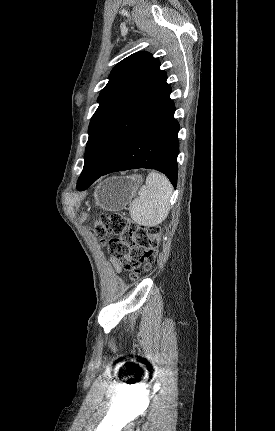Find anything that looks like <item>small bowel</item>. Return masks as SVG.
<instances>
[{
	"label": "small bowel",
	"instance_id": "obj_1",
	"mask_svg": "<svg viewBox=\"0 0 275 431\" xmlns=\"http://www.w3.org/2000/svg\"><path fill=\"white\" fill-rule=\"evenodd\" d=\"M112 263H113L114 267L116 268V270H117V271H120L121 266H120L119 260H118L117 258H114V259L112 260Z\"/></svg>",
	"mask_w": 275,
	"mask_h": 431
}]
</instances>
